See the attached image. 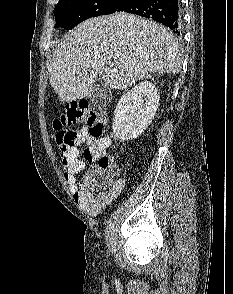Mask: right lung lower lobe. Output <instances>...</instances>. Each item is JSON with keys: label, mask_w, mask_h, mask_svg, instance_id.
Instances as JSON below:
<instances>
[{"label": "right lung lower lobe", "mask_w": 233, "mask_h": 294, "mask_svg": "<svg viewBox=\"0 0 233 294\" xmlns=\"http://www.w3.org/2000/svg\"><path fill=\"white\" fill-rule=\"evenodd\" d=\"M116 11L153 19L169 27L177 36L182 34L179 0H123Z\"/></svg>", "instance_id": "1"}]
</instances>
